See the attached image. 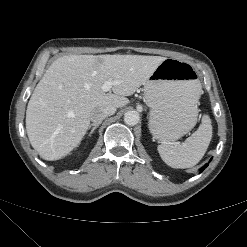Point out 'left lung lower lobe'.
Listing matches in <instances>:
<instances>
[{
  "label": "left lung lower lobe",
  "instance_id": "1",
  "mask_svg": "<svg viewBox=\"0 0 247 247\" xmlns=\"http://www.w3.org/2000/svg\"><path fill=\"white\" fill-rule=\"evenodd\" d=\"M208 166V164H205L204 168H206ZM203 169L201 168L200 171H202Z\"/></svg>",
  "mask_w": 247,
  "mask_h": 247
}]
</instances>
